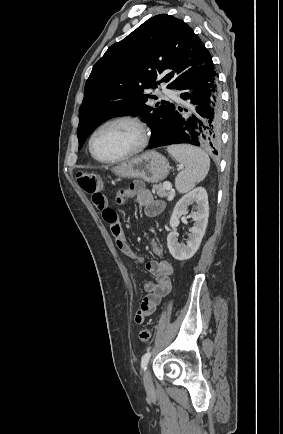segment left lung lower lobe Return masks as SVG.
I'll use <instances>...</instances> for the list:
<instances>
[{
  "label": "left lung lower lobe",
  "mask_w": 283,
  "mask_h": 434,
  "mask_svg": "<svg viewBox=\"0 0 283 434\" xmlns=\"http://www.w3.org/2000/svg\"><path fill=\"white\" fill-rule=\"evenodd\" d=\"M181 98L188 100L189 115L174 110L160 137L151 144L156 148L171 144H191L210 148L218 154L221 136V93L213 61L188 79L178 89Z\"/></svg>",
  "instance_id": "0a47b994"
}]
</instances>
